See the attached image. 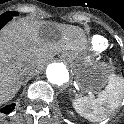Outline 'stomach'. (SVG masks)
Instances as JSON below:
<instances>
[{
  "label": "stomach",
  "mask_w": 124,
  "mask_h": 124,
  "mask_svg": "<svg viewBox=\"0 0 124 124\" xmlns=\"http://www.w3.org/2000/svg\"><path fill=\"white\" fill-rule=\"evenodd\" d=\"M114 75L105 68H95L92 72L81 71L78 75L77 87L81 94L98 93L106 83H112Z\"/></svg>",
  "instance_id": "1"
}]
</instances>
